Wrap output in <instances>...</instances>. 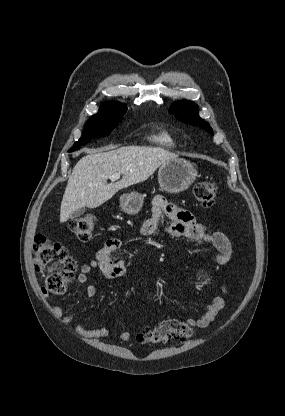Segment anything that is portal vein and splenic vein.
<instances>
[{
	"label": "portal vein and splenic vein",
	"mask_w": 285,
	"mask_h": 416,
	"mask_svg": "<svg viewBox=\"0 0 285 416\" xmlns=\"http://www.w3.org/2000/svg\"><path fill=\"white\" fill-rule=\"evenodd\" d=\"M121 174H112V176H109V180H112V182H115V180H120Z\"/></svg>",
	"instance_id": "1"
}]
</instances>
